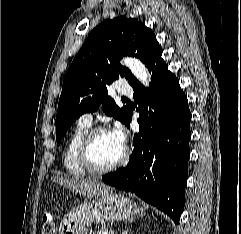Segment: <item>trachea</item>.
Returning a JSON list of instances; mask_svg holds the SVG:
<instances>
[{
  "label": "trachea",
  "mask_w": 241,
  "mask_h": 234,
  "mask_svg": "<svg viewBox=\"0 0 241 234\" xmlns=\"http://www.w3.org/2000/svg\"><path fill=\"white\" fill-rule=\"evenodd\" d=\"M122 99H123V100H126V98H125V97H123Z\"/></svg>",
  "instance_id": "trachea-1"
}]
</instances>
